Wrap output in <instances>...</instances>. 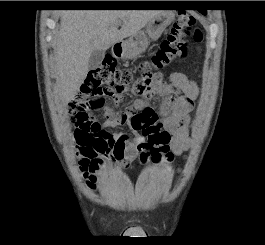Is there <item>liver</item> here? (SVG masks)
<instances>
[{"label":"liver","instance_id":"6515ba94","mask_svg":"<svg viewBox=\"0 0 265 245\" xmlns=\"http://www.w3.org/2000/svg\"><path fill=\"white\" fill-rule=\"evenodd\" d=\"M160 10H67L61 13L56 40L55 67L63 103L74 98L88 72L94 50L106 51L133 36L160 14ZM123 22L118 30L117 23Z\"/></svg>","mask_w":265,"mask_h":245}]
</instances>
